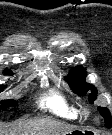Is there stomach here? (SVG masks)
<instances>
[{
  "instance_id": "obj_1",
  "label": "stomach",
  "mask_w": 112,
  "mask_h": 135,
  "mask_svg": "<svg viewBox=\"0 0 112 135\" xmlns=\"http://www.w3.org/2000/svg\"><path fill=\"white\" fill-rule=\"evenodd\" d=\"M67 134H72V135H96L95 132L90 131V130H83V129H72L70 132H68Z\"/></svg>"
}]
</instances>
